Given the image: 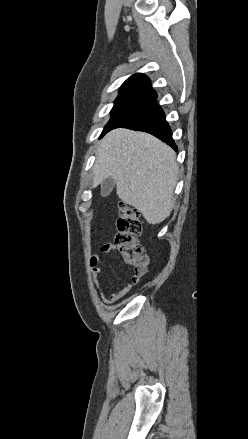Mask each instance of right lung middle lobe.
<instances>
[{
    "label": "right lung middle lobe",
    "mask_w": 248,
    "mask_h": 439,
    "mask_svg": "<svg viewBox=\"0 0 248 439\" xmlns=\"http://www.w3.org/2000/svg\"><path fill=\"white\" fill-rule=\"evenodd\" d=\"M152 100V98L146 96L119 95L115 100L114 107L111 110V119L105 126L103 132L109 127L128 117L138 109L147 105Z\"/></svg>",
    "instance_id": "1"
}]
</instances>
